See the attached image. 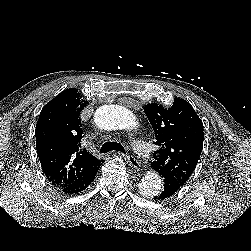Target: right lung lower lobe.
Wrapping results in <instances>:
<instances>
[{
	"instance_id": "1",
	"label": "right lung lower lobe",
	"mask_w": 251,
	"mask_h": 251,
	"mask_svg": "<svg viewBox=\"0 0 251 251\" xmlns=\"http://www.w3.org/2000/svg\"><path fill=\"white\" fill-rule=\"evenodd\" d=\"M97 172L89 176L88 178L82 180L78 183L69 184L63 187L55 186L59 191L65 193V194H77L81 191H83L86 187H88L91 182L94 180L95 175Z\"/></svg>"
}]
</instances>
